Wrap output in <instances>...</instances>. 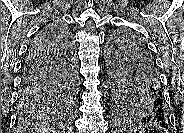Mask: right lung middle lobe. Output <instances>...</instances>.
<instances>
[{"mask_svg":"<svg viewBox=\"0 0 184 133\" xmlns=\"http://www.w3.org/2000/svg\"><path fill=\"white\" fill-rule=\"evenodd\" d=\"M55 27L60 32V35L67 39V43L70 46V48L66 50L64 77L52 99L45 100L38 104L19 103V114L23 118L57 111H66L74 106L76 69L74 66L72 37L70 31L65 25L57 23Z\"/></svg>","mask_w":184,"mask_h":133,"instance_id":"right-lung-middle-lobe-1","label":"right lung middle lobe"}]
</instances>
